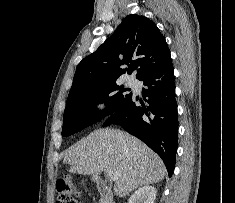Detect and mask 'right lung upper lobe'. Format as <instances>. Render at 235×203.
<instances>
[{"mask_svg":"<svg viewBox=\"0 0 235 203\" xmlns=\"http://www.w3.org/2000/svg\"><path fill=\"white\" fill-rule=\"evenodd\" d=\"M171 61L166 40L157 26L145 16L131 14L123 19L94 53L77 67L69 93L94 84L114 81L137 71L136 78ZM127 65L128 68H120Z\"/></svg>","mask_w":235,"mask_h":203,"instance_id":"obj_1","label":"right lung upper lobe"}]
</instances>
